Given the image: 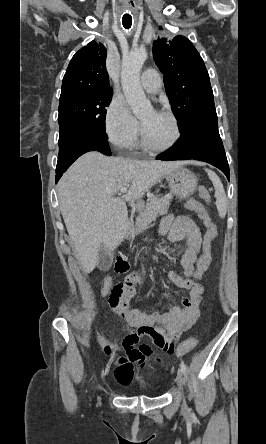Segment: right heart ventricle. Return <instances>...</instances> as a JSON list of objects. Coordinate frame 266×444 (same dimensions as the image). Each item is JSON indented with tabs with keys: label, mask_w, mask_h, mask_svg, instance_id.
Returning <instances> with one entry per match:
<instances>
[{
	"label": "right heart ventricle",
	"mask_w": 266,
	"mask_h": 444,
	"mask_svg": "<svg viewBox=\"0 0 266 444\" xmlns=\"http://www.w3.org/2000/svg\"><path fill=\"white\" fill-rule=\"evenodd\" d=\"M138 147H143L142 143L137 144Z\"/></svg>",
	"instance_id": "obj_1"
}]
</instances>
